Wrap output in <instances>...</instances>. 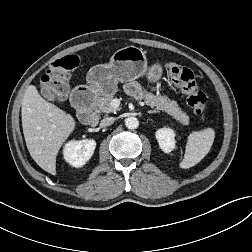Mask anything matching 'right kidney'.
<instances>
[{"instance_id": "1", "label": "right kidney", "mask_w": 252, "mask_h": 252, "mask_svg": "<svg viewBox=\"0 0 252 252\" xmlns=\"http://www.w3.org/2000/svg\"><path fill=\"white\" fill-rule=\"evenodd\" d=\"M95 148L96 142L93 139L70 141L63 148V157L70 165L79 168L92 157Z\"/></svg>"}]
</instances>
